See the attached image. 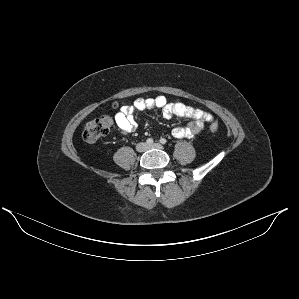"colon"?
<instances>
[{
  "mask_svg": "<svg viewBox=\"0 0 299 299\" xmlns=\"http://www.w3.org/2000/svg\"><path fill=\"white\" fill-rule=\"evenodd\" d=\"M112 119L109 116L103 115L90 120L84 128L83 139L87 142H94L104 138L110 131ZM212 132L218 131V124L212 122L210 125Z\"/></svg>",
  "mask_w": 299,
  "mask_h": 299,
  "instance_id": "5ec220e1",
  "label": "colon"
}]
</instances>
